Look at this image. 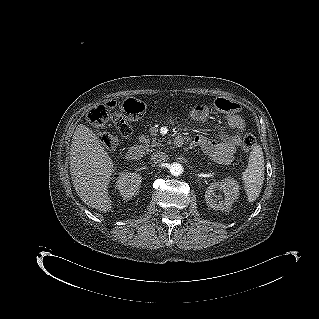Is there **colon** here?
<instances>
[{
  "label": "colon",
  "instance_id": "obj_1",
  "mask_svg": "<svg viewBox=\"0 0 319 319\" xmlns=\"http://www.w3.org/2000/svg\"><path fill=\"white\" fill-rule=\"evenodd\" d=\"M213 107L219 111L236 112L240 106L230 100L218 98L214 101ZM145 111V104L136 99H126L122 103L116 101H108L91 108L86 115L87 121L95 128H102L105 123L112 119L122 135L130 133V127L127 119L137 118ZM102 143L108 149H115L119 143L117 136L102 132L100 134ZM255 139L251 135H246L242 139L241 149L246 152L254 145Z\"/></svg>",
  "mask_w": 319,
  "mask_h": 319
}]
</instances>
